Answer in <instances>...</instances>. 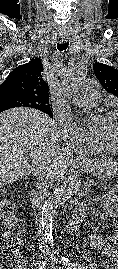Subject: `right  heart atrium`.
<instances>
[{
    "mask_svg": "<svg viewBox=\"0 0 118 269\" xmlns=\"http://www.w3.org/2000/svg\"><path fill=\"white\" fill-rule=\"evenodd\" d=\"M56 118L60 125L64 141L72 147L81 149L93 144V137L78 128L69 117L57 114Z\"/></svg>",
    "mask_w": 118,
    "mask_h": 269,
    "instance_id": "right-heart-atrium-1",
    "label": "right heart atrium"
}]
</instances>
